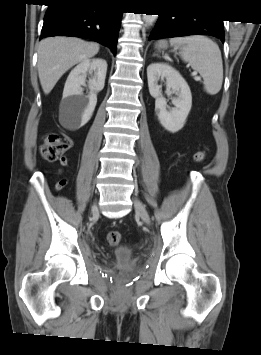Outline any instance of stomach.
I'll list each match as a JSON object with an SVG mask.
<instances>
[{
	"label": "stomach",
	"instance_id": "0dacf381",
	"mask_svg": "<svg viewBox=\"0 0 261 355\" xmlns=\"http://www.w3.org/2000/svg\"><path fill=\"white\" fill-rule=\"evenodd\" d=\"M156 48L158 50H165L168 48V44L166 41H159L157 44H156Z\"/></svg>",
	"mask_w": 261,
	"mask_h": 355
}]
</instances>
